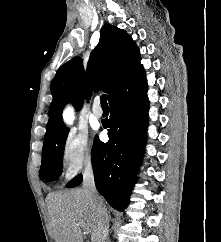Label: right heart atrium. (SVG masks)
<instances>
[{
    "instance_id": "d8ad5b80",
    "label": "right heart atrium",
    "mask_w": 221,
    "mask_h": 242,
    "mask_svg": "<svg viewBox=\"0 0 221 242\" xmlns=\"http://www.w3.org/2000/svg\"><path fill=\"white\" fill-rule=\"evenodd\" d=\"M59 161L67 181L91 168L94 161V150L88 135L74 130L66 134L60 146Z\"/></svg>"
}]
</instances>
